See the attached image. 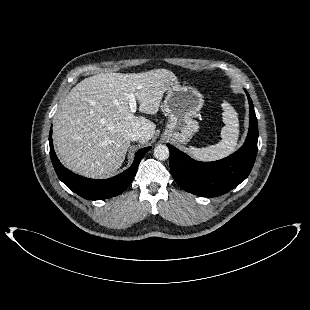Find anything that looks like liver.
Wrapping results in <instances>:
<instances>
[{"label":"liver","instance_id":"6515ba94","mask_svg":"<svg viewBox=\"0 0 310 310\" xmlns=\"http://www.w3.org/2000/svg\"><path fill=\"white\" fill-rule=\"evenodd\" d=\"M173 72L155 69L142 73H100L78 83L68 93L55 115L53 140L63 164L90 178H106L122 165L130 147L128 133L141 132L148 142L156 125L130 111L129 94L139 102V111L158 112Z\"/></svg>","mask_w":310,"mask_h":310}]
</instances>
